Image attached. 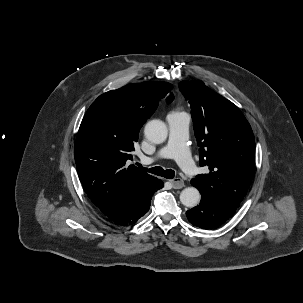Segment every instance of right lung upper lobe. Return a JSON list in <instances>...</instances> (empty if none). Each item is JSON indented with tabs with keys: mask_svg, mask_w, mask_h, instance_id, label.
<instances>
[{
	"mask_svg": "<svg viewBox=\"0 0 303 303\" xmlns=\"http://www.w3.org/2000/svg\"><path fill=\"white\" fill-rule=\"evenodd\" d=\"M167 82L126 85L100 95L85 114L75 141L74 157L83 188L106 216L153 183L155 177L134 165V143L160 99L170 93Z\"/></svg>",
	"mask_w": 303,
	"mask_h": 303,
	"instance_id": "cb5924a9",
	"label": "right lung upper lobe"
}]
</instances>
